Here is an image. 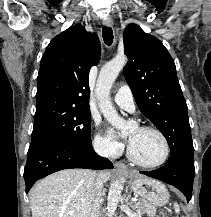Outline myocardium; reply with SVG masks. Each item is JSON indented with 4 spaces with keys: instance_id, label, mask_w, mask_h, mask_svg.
I'll list each match as a JSON object with an SVG mask.
<instances>
[{
    "instance_id": "f54148a6",
    "label": "myocardium",
    "mask_w": 211,
    "mask_h": 217,
    "mask_svg": "<svg viewBox=\"0 0 211 217\" xmlns=\"http://www.w3.org/2000/svg\"><path fill=\"white\" fill-rule=\"evenodd\" d=\"M139 129L142 130V131H152V132L157 133L160 136V138L162 139V141L164 143V148H165L164 155L161 158V160H159L156 163H144V162L140 161L133 154L130 146H128V148H127V156L129 158V160L132 163H134L135 165L143 167V168H147V169L158 168V167L162 166L163 164H165L166 161L169 158V155H170V144H169V141H168L166 135L160 129H158L157 127H154V126L144 125V126H140Z\"/></svg>"
}]
</instances>
